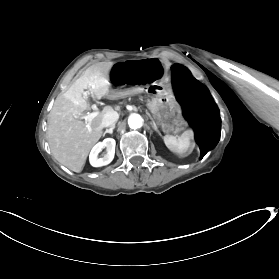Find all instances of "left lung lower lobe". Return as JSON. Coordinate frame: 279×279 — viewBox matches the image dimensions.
<instances>
[{
    "label": "left lung lower lobe",
    "mask_w": 279,
    "mask_h": 279,
    "mask_svg": "<svg viewBox=\"0 0 279 279\" xmlns=\"http://www.w3.org/2000/svg\"><path fill=\"white\" fill-rule=\"evenodd\" d=\"M172 86L177 100L199 130L200 159H202L219 142L221 133L219 110L206 87L181 64L172 66Z\"/></svg>",
    "instance_id": "1"
}]
</instances>
